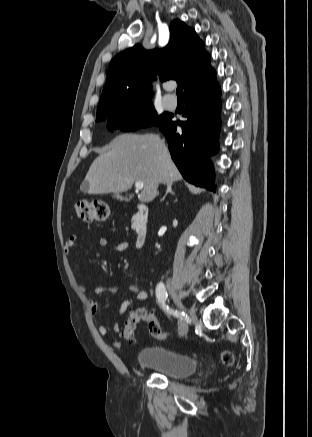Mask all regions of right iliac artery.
Here are the masks:
<instances>
[{
  "mask_svg": "<svg viewBox=\"0 0 312 437\" xmlns=\"http://www.w3.org/2000/svg\"><path fill=\"white\" fill-rule=\"evenodd\" d=\"M156 297H157V300H158L160 306L162 307V309L164 311H166L167 313H169L177 318L183 319V317H184V319L187 322H190L189 317H187V315H185L184 312H179L177 310L169 308V306L166 305L167 292H166L165 286L162 282H160L156 287Z\"/></svg>",
  "mask_w": 312,
  "mask_h": 437,
  "instance_id": "1",
  "label": "right iliac artery"
}]
</instances>
